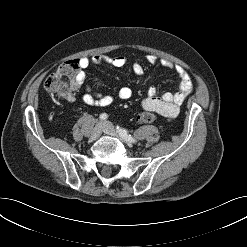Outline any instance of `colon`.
Returning a JSON list of instances; mask_svg holds the SVG:
<instances>
[{
    "instance_id": "obj_1",
    "label": "colon",
    "mask_w": 247,
    "mask_h": 247,
    "mask_svg": "<svg viewBox=\"0 0 247 247\" xmlns=\"http://www.w3.org/2000/svg\"><path fill=\"white\" fill-rule=\"evenodd\" d=\"M80 66L78 60H69L62 64L45 80V90L51 98H66L79 86ZM137 120L140 123H153L157 115L151 111H141Z\"/></svg>"
}]
</instances>
